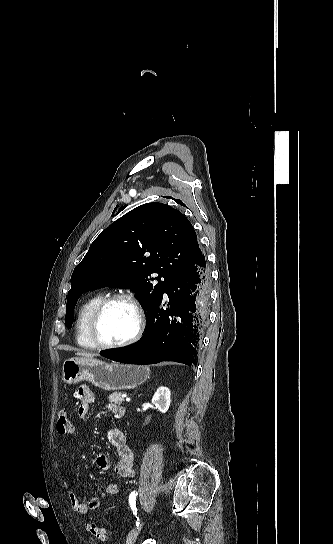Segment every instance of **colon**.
<instances>
[{"label":"colon","instance_id":"colon-1","mask_svg":"<svg viewBox=\"0 0 333 544\" xmlns=\"http://www.w3.org/2000/svg\"><path fill=\"white\" fill-rule=\"evenodd\" d=\"M57 431L61 435L72 434L74 426L66 414H61L57 421ZM88 531L96 538L106 540L109 537L108 530L96 523H90L87 526Z\"/></svg>","mask_w":333,"mask_h":544}]
</instances>
